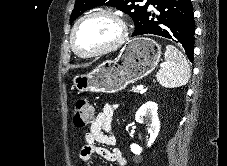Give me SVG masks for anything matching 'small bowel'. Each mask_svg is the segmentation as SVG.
I'll list each match as a JSON object with an SVG mask.
<instances>
[{
	"label": "small bowel",
	"mask_w": 227,
	"mask_h": 166,
	"mask_svg": "<svg viewBox=\"0 0 227 166\" xmlns=\"http://www.w3.org/2000/svg\"><path fill=\"white\" fill-rule=\"evenodd\" d=\"M117 106L105 104L93 118L89 131L85 134V145L80 151V159L85 166H94L95 156L113 162L116 166H125L126 160L114 147L115 137L112 133V119ZM107 146L111 147L110 149Z\"/></svg>",
	"instance_id": "obj_1"
}]
</instances>
